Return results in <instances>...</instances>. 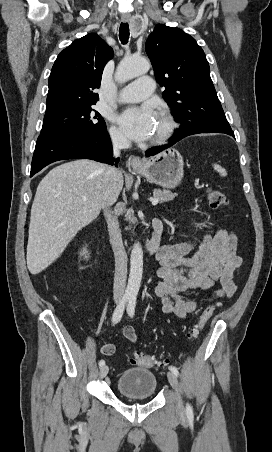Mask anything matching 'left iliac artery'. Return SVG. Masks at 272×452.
I'll return each instance as SVG.
<instances>
[{"mask_svg": "<svg viewBox=\"0 0 272 452\" xmlns=\"http://www.w3.org/2000/svg\"><path fill=\"white\" fill-rule=\"evenodd\" d=\"M136 299H137V298H136L135 295H132V296H130V298H129V303H128V306H127V312H128V314H129L130 317H133L134 314H135ZM169 369H170V371H172L176 376L179 375V371H178V369H177L175 366L171 365V366L169 367ZM186 413H187V416L193 417V408H192V406H191L190 404H187V406H186Z\"/></svg>", "mask_w": 272, "mask_h": 452, "instance_id": "obj_1", "label": "left iliac artery"}]
</instances>
